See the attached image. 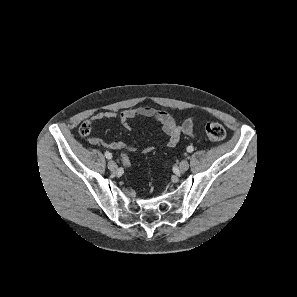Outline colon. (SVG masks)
I'll use <instances>...</instances> for the list:
<instances>
[{"label": "colon", "mask_w": 297, "mask_h": 297, "mask_svg": "<svg viewBox=\"0 0 297 297\" xmlns=\"http://www.w3.org/2000/svg\"><path fill=\"white\" fill-rule=\"evenodd\" d=\"M92 131V124L89 121L84 122L80 127V134L82 136H89ZM205 132L207 137L214 141L220 142L226 137L225 128L218 122L210 121L206 124ZM121 165L124 167L125 171L131 170L130 160L126 153L120 154Z\"/></svg>", "instance_id": "obj_1"}]
</instances>
